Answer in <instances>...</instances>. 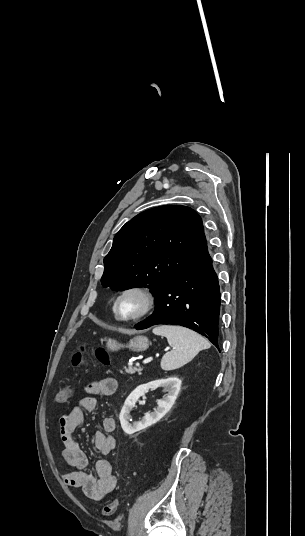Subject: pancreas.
I'll use <instances>...</instances> for the list:
<instances>
[{
  "instance_id": "cf45deb5",
  "label": "pancreas",
  "mask_w": 305,
  "mask_h": 536,
  "mask_svg": "<svg viewBox=\"0 0 305 536\" xmlns=\"http://www.w3.org/2000/svg\"><path fill=\"white\" fill-rule=\"evenodd\" d=\"M125 374H136V372H142V368H136V366H132V364H128V368H126V366H124L123 368ZM124 372H122V370H120V374H124Z\"/></svg>"
}]
</instances>
